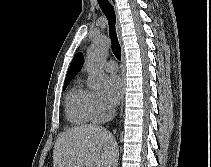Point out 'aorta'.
<instances>
[{
  "mask_svg": "<svg viewBox=\"0 0 211 167\" xmlns=\"http://www.w3.org/2000/svg\"><path fill=\"white\" fill-rule=\"evenodd\" d=\"M109 50V41L102 38L94 42L88 50L87 66L89 71L88 86L93 90H100L105 83L103 60Z\"/></svg>",
  "mask_w": 211,
  "mask_h": 167,
  "instance_id": "obj_1",
  "label": "aorta"
}]
</instances>
